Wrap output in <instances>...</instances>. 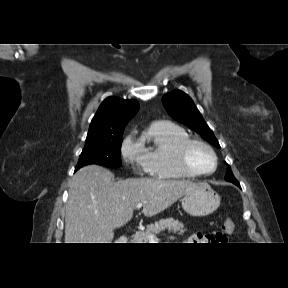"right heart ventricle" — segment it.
I'll use <instances>...</instances> for the list:
<instances>
[{
  "instance_id": "1",
  "label": "right heart ventricle",
  "mask_w": 288,
  "mask_h": 288,
  "mask_svg": "<svg viewBox=\"0 0 288 288\" xmlns=\"http://www.w3.org/2000/svg\"><path fill=\"white\" fill-rule=\"evenodd\" d=\"M189 138L187 131L170 121H156L143 132L139 143L143 150L142 167L161 179H193L178 162V147Z\"/></svg>"
}]
</instances>
